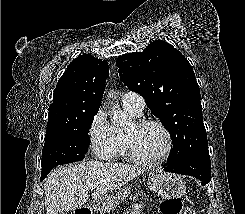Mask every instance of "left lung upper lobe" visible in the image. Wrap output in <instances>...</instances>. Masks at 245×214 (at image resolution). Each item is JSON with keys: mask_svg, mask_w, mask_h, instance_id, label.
I'll return each instance as SVG.
<instances>
[{"mask_svg": "<svg viewBox=\"0 0 245 214\" xmlns=\"http://www.w3.org/2000/svg\"><path fill=\"white\" fill-rule=\"evenodd\" d=\"M116 66L123 83L144 97L169 131L173 151L168 162L208 148L199 85L192 66L180 51L156 40L143 52L119 57Z\"/></svg>", "mask_w": 245, "mask_h": 214, "instance_id": "1", "label": "left lung upper lobe"}]
</instances>
